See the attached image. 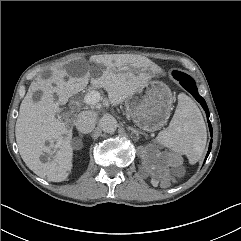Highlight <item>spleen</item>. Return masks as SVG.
<instances>
[{"label":"spleen","mask_w":241,"mask_h":241,"mask_svg":"<svg viewBox=\"0 0 241 241\" xmlns=\"http://www.w3.org/2000/svg\"><path fill=\"white\" fill-rule=\"evenodd\" d=\"M206 141V125L200 109L189 96L179 94L174 116L169 126L159 132L156 142L185 154L195 164L203 155Z\"/></svg>","instance_id":"spleen-1"}]
</instances>
